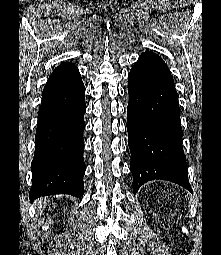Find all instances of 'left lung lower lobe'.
I'll use <instances>...</instances> for the list:
<instances>
[{"label":"left lung lower lobe","mask_w":221,"mask_h":255,"mask_svg":"<svg viewBox=\"0 0 221 255\" xmlns=\"http://www.w3.org/2000/svg\"><path fill=\"white\" fill-rule=\"evenodd\" d=\"M128 80L133 193L155 179L174 182L192 192L182 147L178 96L167 65L157 54L142 53Z\"/></svg>","instance_id":"left-lung-lower-lobe-1"}]
</instances>
